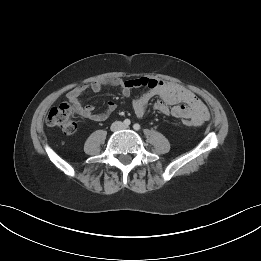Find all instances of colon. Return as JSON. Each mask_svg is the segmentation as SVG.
<instances>
[{
    "label": "colon",
    "mask_w": 261,
    "mask_h": 261,
    "mask_svg": "<svg viewBox=\"0 0 261 261\" xmlns=\"http://www.w3.org/2000/svg\"><path fill=\"white\" fill-rule=\"evenodd\" d=\"M182 122L186 126L193 125L189 119H183ZM47 123L51 127L60 129L65 134H73L77 129L74 121V108L66 102L60 103L50 110Z\"/></svg>",
    "instance_id": "5ec220e1"
}]
</instances>
